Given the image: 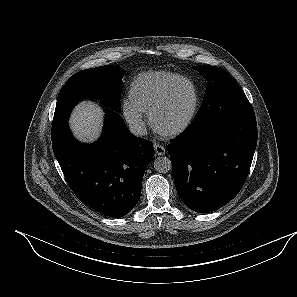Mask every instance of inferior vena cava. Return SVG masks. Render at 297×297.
<instances>
[{"mask_svg": "<svg viewBox=\"0 0 297 297\" xmlns=\"http://www.w3.org/2000/svg\"><path fill=\"white\" fill-rule=\"evenodd\" d=\"M129 130L135 136H143L147 134L146 126L141 120H134L129 123Z\"/></svg>", "mask_w": 297, "mask_h": 297, "instance_id": "1", "label": "inferior vena cava"}]
</instances>
